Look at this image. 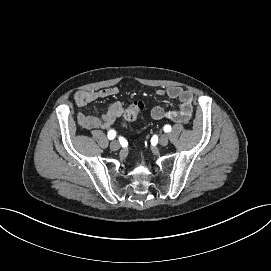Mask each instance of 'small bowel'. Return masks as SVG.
<instances>
[{"instance_id":"c3829d8e","label":"small bowel","mask_w":271,"mask_h":271,"mask_svg":"<svg viewBox=\"0 0 271 271\" xmlns=\"http://www.w3.org/2000/svg\"><path fill=\"white\" fill-rule=\"evenodd\" d=\"M119 93L117 87H108L95 91H77L74 94V101L77 107L84 108L89 103L98 99L115 96ZM158 96H166L171 99H177L180 105L177 110H165L160 106H155L151 109V116L154 119L167 118L174 122L186 123L190 120L193 114V94L182 87L172 86L166 89L157 91ZM124 110L122 102L111 103L107 111L101 116H89L82 112L77 115L78 124L87 130L109 129L115 121L121 117Z\"/></svg>"}]
</instances>
